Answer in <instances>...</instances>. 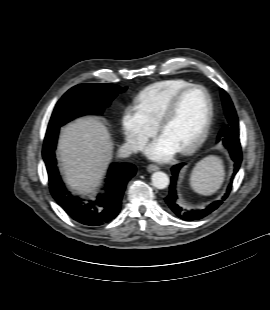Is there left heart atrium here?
Instances as JSON below:
<instances>
[{
	"instance_id": "left-heart-atrium-1",
	"label": "left heart atrium",
	"mask_w": 270,
	"mask_h": 310,
	"mask_svg": "<svg viewBox=\"0 0 270 310\" xmlns=\"http://www.w3.org/2000/svg\"><path fill=\"white\" fill-rule=\"evenodd\" d=\"M147 154L157 160H169L178 150L163 135H160L146 148Z\"/></svg>"
}]
</instances>
